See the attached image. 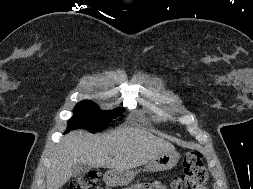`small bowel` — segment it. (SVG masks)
Returning <instances> with one entry per match:
<instances>
[{"label": "small bowel", "mask_w": 253, "mask_h": 189, "mask_svg": "<svg viewBox=\"0 0 253 189\" xmlns=\"http://www.w3.org/2000/svg\"><path fill=\"white\" fill-rule=\"evenodd\" d=\"M130 189H166V187L161 182H154L153 184L134 185Z\"/></svg>", "instance_id": "c3829d8e"}]
</instances>
